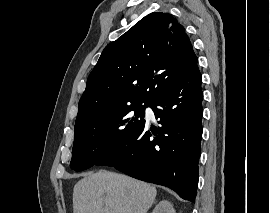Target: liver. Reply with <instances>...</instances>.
Returning <instances> with one entry per match:
<instances>
[{"label": "liver", "instance_id": "6515ba94", "mask_svg": "<svg viewBox=\"0 0 270 213\" xmlns=\"http://www.w3.org/2000/svg\"><path fill=\"white\" fill-rule=\"evenodd\" d=\"M155 187L129 176L88 173L73 189V213H147L155 202Z\"/></svg>", "mask_w": 270, "mask_h": 213}]
</instances>
